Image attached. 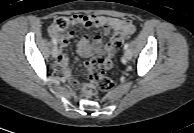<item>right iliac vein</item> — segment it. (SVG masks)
Instances as JSON below:
<instances>
[{
    "instance_id": "obj_1",
    "label": "right iliac vein",
    "mask_w": 194,
    "mask_h": 133,
    "mask_svg": "<svg viewBox=\"0 0 194 133\" xmlns=\"http://www.w3.org/2000/svg\"><path fill=\"white\" fill-rule=\"evenodd\" d=\"M58 54H59V51H58V48L55 46L52 48V56L54 58H57L58 57Z\"/></svg>"
}]
</instances>
